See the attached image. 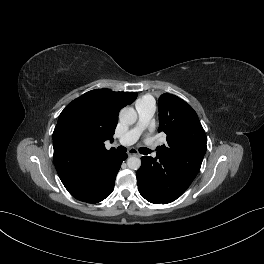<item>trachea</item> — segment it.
<instances>
[{"instance_id": "trachea-1", "label": "trachea", "mask_w": 264, "mask_h": 264, "mask_svg": "<svg viewBox=\"0 0 264 264\" xmlns=\"http://www.w3.org/2000/svg\"><path fill=\"white\" fill-rule=\"evenodd\" d=\"M117 151H119V152H121V153H125V152L127 151V149H126L125 147H123V146H119V147L117 148ZM139 152H140L141 154H145V155H147V154H150L151 150L148 149V148L142 147V148L139 149Z\"/></svg>"}]
</instances>
